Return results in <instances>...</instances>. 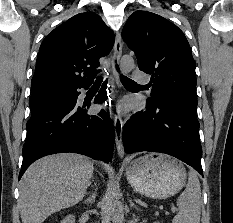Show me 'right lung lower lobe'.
Segmentation results:
<instances>
[{
	"instance_id": "98d812e1",
	"label": "right lung lower lobe",
	"mask_w": 233,
	"mask_h": 223,
	"mask_svg": "<svg viewBox=\"0 0 233 223\" xmlns=\"http://www.w3.org/2000/svg\"><path fill=\"white\" fill-rule=\"evenodd\" d=\"M106 82L94 103L107 99ZM90 85L56 88L41 94L48 107L33 113L27 122L19 179L34 161L50 154L74 152L107 163L112 159L115 132L108 113L88 114L87 104L82 106L77 100V89Z\"/></svg>"
}]
</instances>
